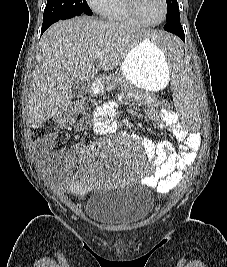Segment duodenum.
<instances>
[{
  "instance_id": "410a0bca",
  "label": "duodenum",
  "mask_w": 227,
  "mask_h": 267,
  "mask_svg": "<svg viewBox=\"0 0 227 267\" xmlns=\"http://www.w3.org/2000/svg\"><path fill=\"white\" fill-rule=\"evenodd\" d=\"M96 80H97V81H101L102 79H101L100 77H97Z\"/></svg>"
}]
</instances>
